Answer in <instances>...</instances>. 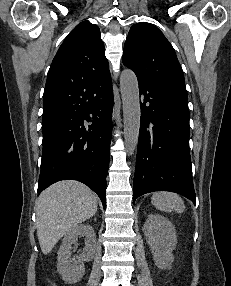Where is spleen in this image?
<instances>
[{
  "instance_id": "1",
  "label": "spleen",
  "mask_w": 231,
  "mask_h": 286,
  "mask_svg": "<svg viewBox=\"0 0 231 286\" xmlns=\"http://www.w3.org/2000/svg\"><path fill=\"white\" fill-rule=\"evenodd\" d=\"M151 203L160 211L182 213L185 210V204L182 198L172 192L162 191L153 193Z\"/></svg>"
}]
</instances>
